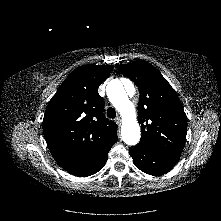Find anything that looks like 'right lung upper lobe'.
<instances>
[{"mask_svg": "<svg viewBox=\"0 0 221 221\" xmlns=\"http://www.w3.org/2000/svg\"><path fill=\"white\" fill-rule=\"evenodd\" d=\"M111 70V65L78 67L47 105L44 137L54 159L67 171L87 164L117 141L116 124L104 116L98 93Z\"/></svg>", "mask_w": 221, "mask_h": 221, "instance_id": "right-lung-upper-lobe-1", "label": "right lung upper lobe"}]
</instances>
